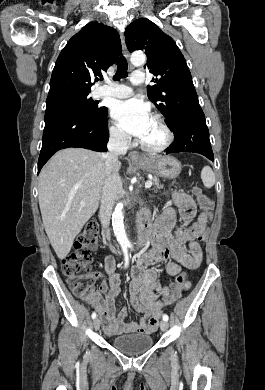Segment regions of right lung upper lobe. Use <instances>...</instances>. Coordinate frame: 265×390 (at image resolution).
<instances>
[{
  "mask_svg": "<svg viewBox=\"0 0 265 390\" xmlns=\"http://www.w3.org/2000/svg\"><path fill=\"white\" fill-rule=\"evenodd\" d=\"M121 53L118 32L104 24L91 22L74 35L59 54L50 80L47 100L90 93L92 82Z\"/></svg>",
  "mask_w": 265,
  "mask_h": 390,
  "instance_id": "cb5924a9",
  "label": "right lung upper lobe"
}]
</instances>
